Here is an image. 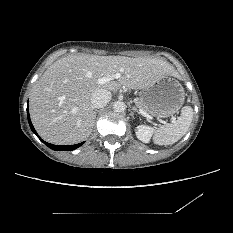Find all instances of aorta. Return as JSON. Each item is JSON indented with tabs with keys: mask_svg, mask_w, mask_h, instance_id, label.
I'll return each mask as SVG.
<instances>
[{
	"mask_svg": "<svg viewBox=\"0 0 233 233\" xmlns=\"http://www.w3.org/2000/svg\"><path fill=\"white\" fill-rule=\"evenodd\" d=\"M113 109L115 112H124L126 109V105L122 101H116L113 104Z\"/></svg>",
	"mask_w": 233,
	"mask_h": 233,
	"instance_id": "aorta-1",
	"label": "aorta"
}]
</instances>
